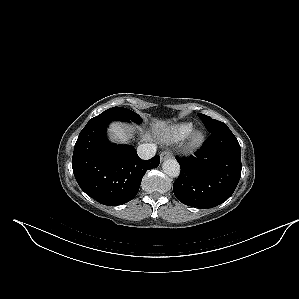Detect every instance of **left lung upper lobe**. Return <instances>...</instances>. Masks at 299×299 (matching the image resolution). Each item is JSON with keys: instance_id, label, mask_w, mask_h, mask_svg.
<instances>
[{"instance_id": "1", "label": "left lung upper lobe", "mask_w": 299, "mask_h": 299, "mask_svg": "<svg viewBox=\"0 0 299 299\" xmlns=\"http://www.w3.org/2000/svg\"><path fill=\"white\" fill-rule=\"evenodd\" d=\"M198 116L203 121V123L205 124L206 128L208 129V131L210 133L217 130L218 128L226 125L223 122L212 119L211 117L201 114V113H198Z\"/></svg>"}]
</instances>
